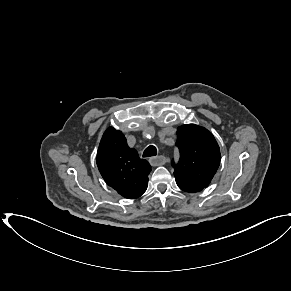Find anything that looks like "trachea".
<instances>
[{"instance_id":"trachea-1","label":"trachea","mask_w":291,"mask_h":291,"mask_svg":"<svg viewBox=\"0 0 291 291\" xmlns=\"http://www.w3.org/2000/svg\"><path fill=\"white\" fill-rule=\"evenodd\" d=\"M157 154V149L155 146L151 145L148 146L143 153V157H151V156H156Z\"/></svg>"}]
</instances>
